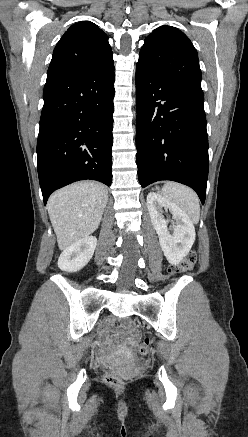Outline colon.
<instances>
[{
    "label": "colon",
    "instance_id": "1",
    "mask_svg": "<svg viewBox=\"0 0 248 437\" xmlns=\"http://www.w3.org/2000/svg\"><path fill=\"white\" fill-rule=\"evenodd\" d=\"M196 253L194 251H190L182 260L180 263L171 265L168 268V273L171 275H175L181 272L189 271L194 268V265L196 263ZM150 350V339H145L137 348V354L140 356L146 355ZM105 382L113 387V388H120L123 386V379L118 376L117 374H114L112 372H107L104 375Z\"/></svg>",
    "mask_w": 248,
    "mask_h": 437
}]
</instances>
